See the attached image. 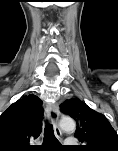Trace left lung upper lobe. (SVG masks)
Here are the masks:
<instances>
[{
    "label": "left lung upper lobe",
    "mask_w": 118,
    "mask_h": 151,
    "mask_svg": "<svg viewBox=\"0 0 118 151\" xmlns=\"http://www.w3.org/2000/svg\"><path fill=\"white\" fill-rule=\"evenodd\" d=\"M61 111L75 119V136L85 143L81 151H118V135L107 118L82 102L71 98L60 105Z\"/></svg>",
    "instance_id": "1"
}]
</instances>
